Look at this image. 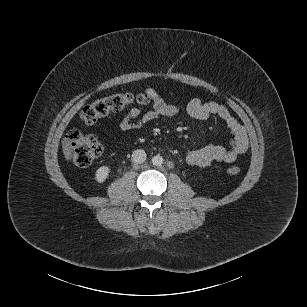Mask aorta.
<instances>
[{
  "label": "aorta",
  "mask_w": 307,
  "mask_h": 307,
  "mask_svg": "<svg viewBox=\"0 0 307 307\" xmlns=\"http://www.w3.org/2000/svg\"><path fill=\"white\" fill-rule=\"evenodd\" d=\"M163 157L160 155H155L152 157V164L155 166H161L163 164Z\"/></svg>",
  "instance_id": "aorta-1"
}]
</instances>
